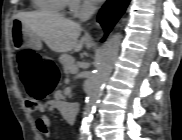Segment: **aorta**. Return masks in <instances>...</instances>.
I'll list each match as a JSON object with an SVG mask.
<instances>
[{
    "mask_svg": "<svg viewBox=\"0 0 182 140\" xmlns=\"http://www.w3.org/2000/svg\"><path fill=\"white\" fill-rule=\"evenodd\" d=\"M120 43L121 35L117 33L105 42L99 55L96 70L92 75L87 92L86 104L83 112L81 130L82 136L85 139L90 137L89 124L93 117L95 106L100 99L103 86L108 79L118 56Z\"/></svg>",
    "mask_w": 182,
    "mask_h": 140,
    "instance_id": "762f6f07",
    "label": "aorta"
}]
</instances>
